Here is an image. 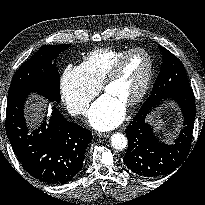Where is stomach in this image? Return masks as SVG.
<instances>
[{
  "label": "stomach",
  "mask_w": 205,
  "mask_h": 205,
  "mask_svg": "<svg viewBox=\"0 0 205 205\" xmlns=\"http://www.w3.org/2000/svg\"><path fill=\"white\" fill-rule=\"evenodd\" d=\"M153 125L156 127L157 132H163L165 130V123L159 114L154 115Z\"/></svg>",
  "instance_id": "1"
}]
</instances>
